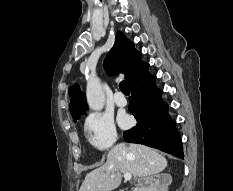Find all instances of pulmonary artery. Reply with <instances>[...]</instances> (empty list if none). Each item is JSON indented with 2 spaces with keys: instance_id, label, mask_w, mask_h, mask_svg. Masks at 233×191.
Listing matches in <instances>:
<instances>
[{
  "instance_id": "e3ab8cb5",
  "label": "pulmonary artery",
  "mask_w": 233,
  "mask_h": 191,
  "mask_svg": "<svg viewBox=\"0 0 233 191\" xmlns=\"http://www.w3.org/2000/svg\"><path fill=\"white\" fill-rule=\"evenodd\" d=\"M114 102L117 106L124 107L127 104V99L120 91H117L114 95Z\"/></svg>"
}]
</instances>
